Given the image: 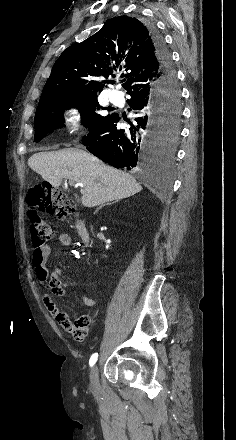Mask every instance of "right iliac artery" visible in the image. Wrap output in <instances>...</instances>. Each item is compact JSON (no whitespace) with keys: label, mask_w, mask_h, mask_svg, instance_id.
Returning <instances> with one entry per match:
<instances>
[{"label":"right iliac artery","mask_w":236,"mask_h":440,"mask_svg":"<svg viewBox=\"0 0 236 440\" xmlns=\"http://www.w3.org/2000/svg\"><path fill=\"white\" fill-rule=\"evenodd\" d=\"M97 359L98 353H94L90 358L89 365L92 367L96 363Z\"/></svg>","instance_id":"obj_1"}]
</instances>
